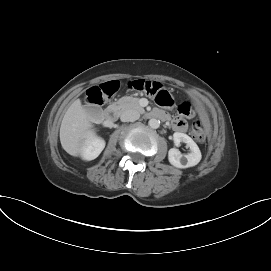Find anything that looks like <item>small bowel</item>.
<instances>
[{
  "instance_id": "small-bowel-1",
  "label": "small bowel",
  "mask_w": 271,
  "mask_h": 271,
  "mask_svg": "<svg viewBox=\"0 0 271 271\" xmlns=\"http://www.w3.org/2000/svg\"><path fill=\"white\" fill-rule=\"evenodd\" d=\"M159 112H161V111H159ZM161 113L165 114L164 112H161ZM166 117H167V115H166ZM172 127L174 130H176L178 132H185L187 130V123L184 119L177 117L172 120Z\"/></svg>"
}]
</instances>
